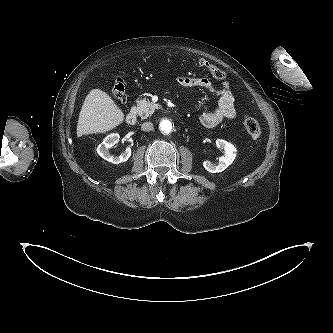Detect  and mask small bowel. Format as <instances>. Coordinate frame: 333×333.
I'll return each instance as SVG.
<instances>
[{
	"mask_svg": "<svg viewBox=\"0 0 333 333\" xmlns=\"http://www.w3.org/2000/svg\"><path fill=\"white\" fill-rule=\"evenodd\" d=\"M178 82L188 88H204L219 97L215 108L205 110L200 115V122L207 127H214L224 119H234L236 117L235 99L227 84L222 89H216L207 78L181 75Z\"/></svg>",
	"mask_w": 333,
	"mask_h": 333,
	"instance_id": "obj_1",
	"label": "small bowel"
}]
</instances>
